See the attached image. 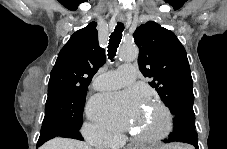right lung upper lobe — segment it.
<instances>
[{"label":"right lung upper lobe","instance_id":"cb5924a9","mask_svg":"<svg viewBox=\"0 0 227 149\" xmlns=\"http://www.w3.org/2000/svg\"><path fill=\"white\" fill-rule=\"evenodd\" d=\"M97 23L76 31L61 49L51 71L48 92L87 90L94 74L105 63V51L98 44Z\"/></svg>","mask_w":227,"mask_h":149}]
</instances>
